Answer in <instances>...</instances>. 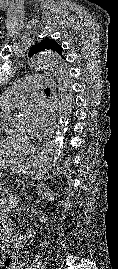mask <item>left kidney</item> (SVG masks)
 Segmentation results:
<instances>
[{"instance_id": "left-kidney-1", "label": "left kidney", "mask_w": 118, "mask_h": 269, "mask_svg": "<svg viewBox=\"0 0 118 269\" xmlns=\"http://www.w3.org/2000/svg\"><path fill=\"white\" fill-rule=\"evenodd\" d=\"M38 195H40L42 198H45L47 200H53L54 199V193L52 190L49 189L48 186L45 184H41L38 186ZM41 223H48L47 218H40Z\"/></svg>"}]
</instances>
